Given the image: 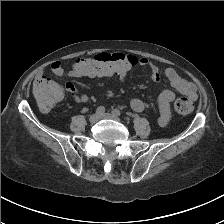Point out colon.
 I'll use <instances>...</instances> for the list:
<instances>
[{"instance_id": "obj_1", "label": "colon", "mask_w": 224, "mask_h": 224, "mask_svg": "<svg viewBox=\"0 0 224 224\" xmlns=\"http://www.w3.org/2000/svg\"><path fill=\"white\" fill-rule=\"evenodd\" d=\"M133 62L120 53H100L91 58H81L73 68L80 77H110L126 74ZM63 87L49 78L37 80L33 94L39 107L44 111L52 109L62 98ZM193 110V103L188 97H178L174 102V111L178 115H187Z\"/></svg>"}]
</instances>
